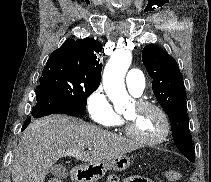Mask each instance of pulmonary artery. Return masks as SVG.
I'll list each match as a JSON object with an SVG mask.
<instances>
[{"instance_id": "obj_1", "label": "pulmonary artery", "mask_w": 211, "mask_h": 182, "mask_svg": "<svg viewBox=\"0 0 211 182\" xmlns=\"http://www.w3.org/2000/svg\"><path fill=\"white\" fill-rule=\"evenodd\" d=\"M126 85L133 95L140 96L145 88L143 73L140 70L131 69L126 75Z\"/></svg>"}]
</instances>
